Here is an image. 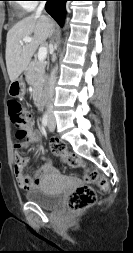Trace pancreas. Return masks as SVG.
Segmentation results:
<instances>
[{
    "label": "pancreas",
    "instance_id": "cf45deb5",
    "mask_svg": "<svg viewBox=\"0 0 133 253\" xmlns=\"http://www.w3.org/2000/svg\"><path fill=\"white\" fill-rule=\"evenodd\" d=\"M45 67V62L34 60L30 63L27 69L26 81L33 88L32 95L34 101H37L40 97L46 83Z\"/></svg>",
    "mask_w": 133,
    "mask_h": 253
}]
</instances>
